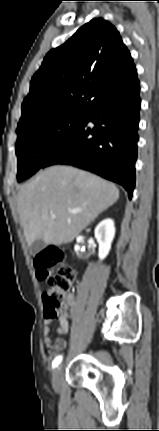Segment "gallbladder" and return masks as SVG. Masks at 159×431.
I'll use <instances>...</instances> for the list:
<instances>
[{
	"mask_svg": "<svg viewBox=\"0 0 159 431\" xmlns=\"http://www.w3.org/2000/svg\"><path fill=\"white\" fill-rule=\"evenodd\" d=\"M46 247V244L43 240L41 239H37L36 241H34L32 243V245L30 246V250H31V254L32 255H36L38 254L40 251H42L44 248Z\"/></svg>",
	"mask_w": 159,
	"mask_h": 431,
	"instance_id": "obj_1",
	"label": "gallbladder"
}]
</instances>
